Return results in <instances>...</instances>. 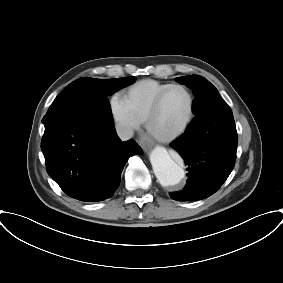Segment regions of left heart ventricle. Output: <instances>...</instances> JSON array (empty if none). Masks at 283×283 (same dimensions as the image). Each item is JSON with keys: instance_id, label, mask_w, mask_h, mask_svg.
<instances>
[{"instance_id": "1", "label": "left heart ventricle", "mask_w": 283, "mask_h": 283, "mask_svg": "<svg viewBox=\"0 0 283 283\" xmlns=\"http://www.w3.org/2000/svg\"><path fill=\"white\" fill-rule=\"evenodd\" d=\"M189 111V97L182 89H172L162 101L161 107L152 122V129L160 135H167L184 123Z\"/></svg>"}]
</instances>
